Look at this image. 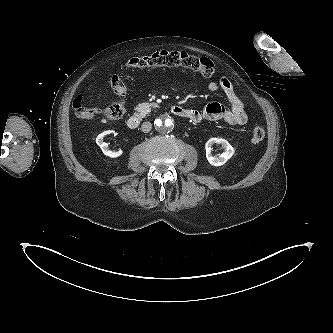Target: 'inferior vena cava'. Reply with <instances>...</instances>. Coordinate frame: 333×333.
Segmentation results:
<instances>
[{"mask_svg": "<svg viewBox=\"0 0 333 333\" xmlns=\"http://www.w3.org/2000/svg\"><path fill=\"white\" fill-rule=\"evenodd\" d=\"M152 129V124L150 122H144L141 126V130L144 133H148Z\"/></svg>", "mask_w": 333, "mask_h": 333, "instance_id": "obj_1", "label": "inferior vena cava"}]
</instances>
